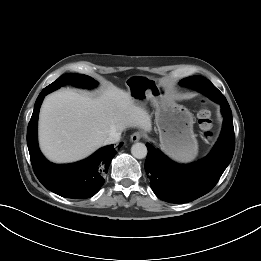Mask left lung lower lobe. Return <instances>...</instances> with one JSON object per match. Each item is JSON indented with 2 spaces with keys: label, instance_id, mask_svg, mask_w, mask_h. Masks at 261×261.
I'll list each match as a JSON object with an SVG mask.
<instances>
[{
  "label": "left lung lower lobe",
  "instance_id": "obj_1",
  "mask_svg": "<svg viewBox=\"0 0 261 261\" xmlns=\"http://www.w3.org/2000/svg\"><path fill=\"white\" fill-rule=\"evenodd\" d=\"M193 88L221 105L223 129L209 155L189 165L175 163L151 144H146L145 171L150 186L158 198L169 203L191 202L208 193L217 184L234 153L232 112L226 98L206 78L197 81Z\"/></svg>",
  "mask_w": 261,
  "mask_h": 261
}]
</instances>
